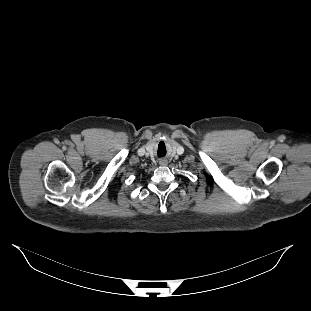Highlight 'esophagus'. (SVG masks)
Returning <instances> with one entry per match:
<instances>
[{
	"label": "esophagus",
	"mask_w": 311,
	"mask_h": 311,
	"mask_svg": "<svg viewBox=\"0 0 311 311\" xmlns=\"http://www.w3.org/2000/svg\"><path fill=\"white\" fill-rule=\"evenodd\" d=\"M164 163H166V161L161 160V161L159 162V165L165 166L166 164H164Z\"/></svg>",
	"instance_id": "34e87169"
}]
</instances>
